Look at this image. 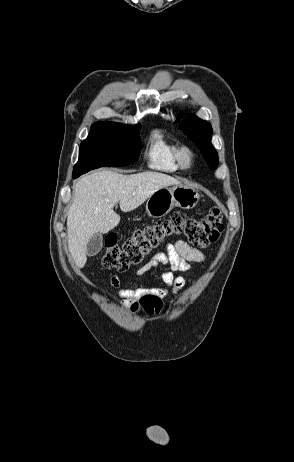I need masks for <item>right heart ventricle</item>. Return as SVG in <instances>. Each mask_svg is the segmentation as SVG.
Listing matches in <instances>:
<instances>
[{"label": "right heart ventricle", "mask_w": 294, "mask_h": 462, "mask_svg": "<svg viewBox=\"0 0 294 462\" xmlns=\"http://www.w3.org/2000/svg\"><path fill=\"white\" fill-rule=\"evenodd\" d=\"M181 147L171 142L161 130H156L150 137L146 153L147 163L151 169L173 173L182 169L179 153Z\"/></svg>", "instance_id": "obj_1"}]
</instances>
